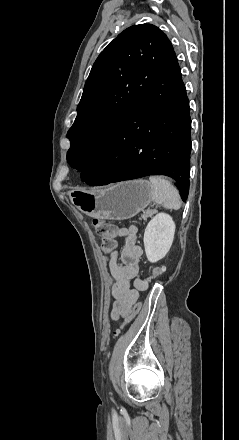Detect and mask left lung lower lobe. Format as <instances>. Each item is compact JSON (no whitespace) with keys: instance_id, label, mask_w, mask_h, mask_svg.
Listing matches in <instances>:
<instances>
[{"instance_id":"left-lung-lower-lobe-1","label":"left lung lower lobe","mask_w":239,"mask_h":440,"mask_svg":"<svg viewBox=\"0 0 239 440\" xmlns=\"http://www.w3.org/2000/svg\"><path fill=\"white\" fill-rule=\"evenodd\" d=\"M189 101L175 52L133 110L116 126L82 181L100 186L160 174L189 192L191 151Z\"/></svg>"}]
</instances>
